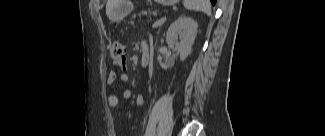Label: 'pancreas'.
Here are the masks:
<instances>
[{
  "label": "pancreas",
  "mask_w": 325,
  "mask_h": 136,
  "mask_svg": "<svg viewBox=\"0 0 325 136\" xmlns=\"http://www.w3.org/2000/svg\"><path fill=\"white\" fill-rule=\"evenodd\" d=\"M155 10L152 9L150 5H143L141 7L140 12H134V19H136V23L138 24H154L155 18L154 17H147V16H154Z\"/></svg>",
  "instance_id": "pancreas-1"
}]
</instances>
